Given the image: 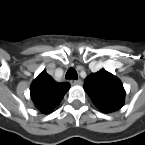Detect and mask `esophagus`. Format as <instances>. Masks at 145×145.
Returning a JSON list of instances; mask_svg holds the SVG:
<instances>
[{
  "mask_svg": "<svg viewBox=\"0 0 145 145\" xmlns=\"http://www.w3.org/2000/svg\"><path fill=\"white\" fill-rule=\"evenodd\" d=\"M70 83L72 85H81L82 84V80L78 79V80H71Z\"/></svg>",
  "mask_w": 145,
  "mask_h": 145,
  "instance_id": "esophagus-1",
  "label": "esophagus"
}]
</instances>
